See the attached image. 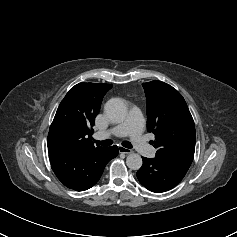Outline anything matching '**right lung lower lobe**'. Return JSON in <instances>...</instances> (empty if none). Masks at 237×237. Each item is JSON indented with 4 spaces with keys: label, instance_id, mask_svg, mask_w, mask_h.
Returning a JSON list of instances; mask_svg holds the SVG:
<instances>
[{
    "label": "right lung lower lobe",
    "instance_id": "1",
    "mask_svg": "<svg viewBox=\"0 0 237 237\" xmlns=\"http://www.w3.org/2000/svg\"><path fill=\"white\" fill-rule=\"evenodd\" d=\"M52 170L68 188L84 191L100 179L106 164L118 154V147L99 148L76 154L58 147H48Z\"/></svg>",
    "mask_w": 237,
    "mask_h": 237
}]
</instances>
